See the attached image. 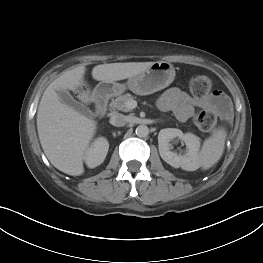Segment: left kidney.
<instances>
[{"label":"left kidney","mask_w":263,"mask_h":263,"mask_svg":"<svg viewBox=\"0 0 263 263\" xmlns=\"http://www.w3.org/2000/svg\"><path fill=\"white\" fill-rule=\"evenodd\" d=\"M178 137L185 142L187 151L185 154H177L171 151V140ZM158 147L161 158L174 168L181 167L186 171H194L199 168L200 138L192 133L184 134L176 128L160 130L158 134Z\"/></svg>","instance_id":"left-kidney-1"}]
</instances>
